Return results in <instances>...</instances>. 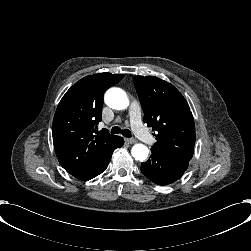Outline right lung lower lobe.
Segmentation results:
<instances>
[{
	"instance_id": "obj_1",
	"label": "right lung lower lobe",
	"mask_w": 251,
	"mask_h": 251,
	"mask_svg": "<svg viewBox=\"0 0 251 251\" xmlns=\"http://www.w3.org/2000/svg\"><path fill=\"white\" fill-rule=\"evenodd\" d=\"M123 143H124V140L123 139L120 140V143H119V145H118L117 148H120L123 145ZM110 159H111V157H110ZM110 159L106 163H104L103 166L100 169H98L97 171L93 172L92 174H90L86 178L82 179V181L90 180V179L96 177L97 175L101 174L107 168Z\"/></svg>"
}]
</instances>
